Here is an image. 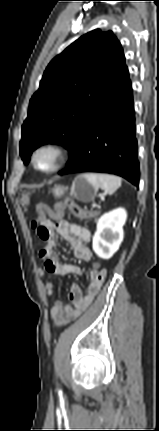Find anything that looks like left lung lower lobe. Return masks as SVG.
I'll list each match as a JSON object with an SVG mask.
<instances>
[{"mask_svg":"<svg viewBox=\"0 0 159 431\" xmlns=\"http://www.w3.org/2000/svg\"><path fill=\"white\" fill-rule=\"evenodd\" d=\"M60 175L103 172L139 185L140 169L129 74L100 110L85 124Z\"/></svg>","mask_w":159,"mask_h":431,"instance_id":"1","label":"left lung lower lobe"}]
</instances>
